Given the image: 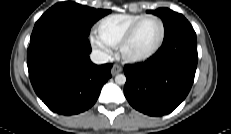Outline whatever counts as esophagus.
Masks as SVG:
<instances>
[{"mask_svg": "<svg viewBox=\"0 0 231 134\" xmlns=\"http://www.w3.org/2000/svg\"><path fill=\"white\" fill-rule=\"evenodd\" d=\"M122 71V67L117 65V64H114L111 68V74L114 76L118 73H120Z\"/></svg>", "mask_w": 231, "mask_h": 134, "instance_id": "34e87169", "label": "esophagus"}]
</instances>
